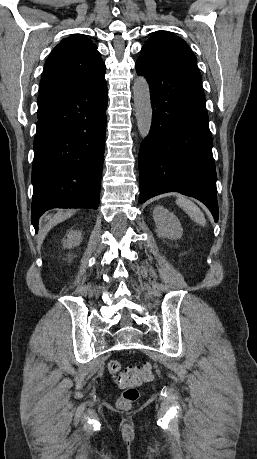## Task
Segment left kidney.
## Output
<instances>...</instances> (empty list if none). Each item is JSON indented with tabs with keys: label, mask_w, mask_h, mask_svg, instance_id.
Wrapping results in <instances>:
<instances>
[{
	"label": "left kidney",
	"mask_w": 257,
	"mask_h": 459,
	"mask_svg": "<svg viewBox=\"0 0 257 459\" xmlns=\"http://www.w3.org/2000/svg\"><path fill=\"white\" fill-rule=\"evenodd\" d=\"M153 218L159 237L178 239L182 236L183 228L179 219L164 207L156 206L153 210Z\"/></svg>",
	"instance_id": "left-kidney-1"
}]
</instances>
